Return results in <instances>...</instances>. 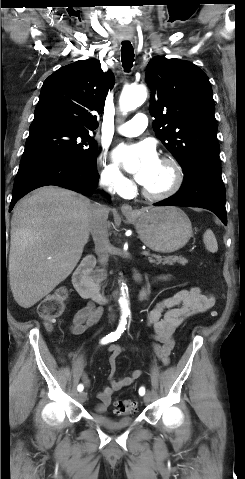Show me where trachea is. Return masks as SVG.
<instances>
[{
	"instance_id": "obj_1",
	"label": "trachea",
	"mask_w": 245,
	"mask_h": 479,
	"mask_svg": "<svg viewBox=\"0 0 245 479\" xmlns=\"http://www.w3.org/2000/svg\"><path fill=\"white\" fill-rule=\"evenodd\" d=\"M121 51L122 65L126 71H129L134 62V50L132 44L129 41H123Z\"/></svg>"
}]
</instances>
